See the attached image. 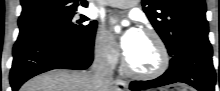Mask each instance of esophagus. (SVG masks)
<instances>
[{"mask_svg": "<svg viewBox=\"0 0 220 91\" xmlns=\"http://www.w3.org/2000/svg\"><path fill=\"white\" fill-rule=\"evenodd\" d=\"M115 86L117 91H126L127 90V83L122 79H117L115 82Z\"/></svg>", "mask_w": 220, "mask_h": 91, "instance_id": "esophagus-1", "label": "esophagus"}]
</instances>
